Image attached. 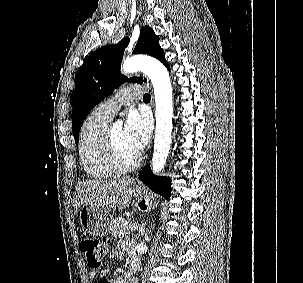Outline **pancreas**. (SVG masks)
Instances as JSON below:
<instances>
[{"label":"pancreas","instance_id":"cf45deb5","mask_svg":"<svg viewBox=\"0 0 303 283\" xmlns=\"http://www.w3.org/2000/svg\"><path fill=\"white\" fill-rule=\"evenodd\" d=\"M124 222H126L124 217H117L113 220L111 227L112 236L115 238H124L132 232L129 229L131 224H123Z\"/></svg>","mask_w":303,"mask_h":283}]
</instances>
